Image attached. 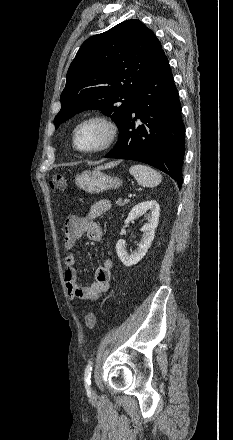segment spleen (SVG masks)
I'll return each mask as SVG.
<instances>
[{
  "instance_id": "1",
  "label": "spleen",
  "mask_w": 233,
  "mask_h": 440,
  "mask_svg": "<svg viewBox=\"0 0 233 440\" xmlns=\"http://www.w3.org/2000/svg\"><path fill=\"white\" fill-rule=\"evenodd\" d=\"M129 173L136 179L139 185L146 187H155L162 180V176L158 171L143 164L131 166Z\"/></svg>"
}]
</instances>
